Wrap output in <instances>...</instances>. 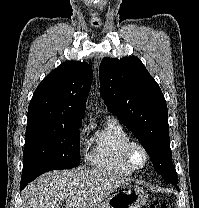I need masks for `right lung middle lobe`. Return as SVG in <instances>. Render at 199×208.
Segmentation results:
<instances>
[{"mask_svg": "<svg viewBox=\"0 0 199 208\" xmlns=\"http://www.w3.org/2000/svg\"><path fill=\"white\" fill-rule=\"evenodd\" d=\"M81 124L28 119L21 180L32 181L44 172L79 165Z\"/></svg>", "mask_w": 199, "mask_h": 208, "instance_id": "right-lung-middle-lobe-1", "label": "right lung middle lobe"}]
</instances>
